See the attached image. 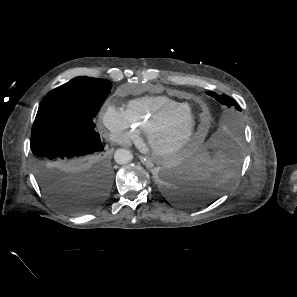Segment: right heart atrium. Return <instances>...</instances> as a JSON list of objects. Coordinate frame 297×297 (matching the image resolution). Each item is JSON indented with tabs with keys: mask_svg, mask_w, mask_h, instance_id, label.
I'll return each mask as SVG.
<instances>
[{
	"mask_svg": "<svg viewBox=\"0 0 297 297\" xmlns=\"http://www.w3.org/2000/svg\"><path fill=\"white\" fill-rule=\"evenodd\" d=\"M101 126L109 140L121 145L137 142L140 130L133 123L125 110L108 103L104 106L100 116Z\"/></svg>",
	"mask_w": 297,
	"mask_h": 297,
	"instance_id": "d8ad5b80",
	"label": "right heart atrium"
}]
</instances>
